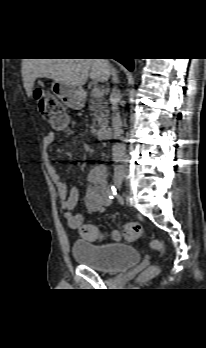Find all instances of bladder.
<instances>
[{
  "mask_svg": "<svg viewBox=\"0 0 206 348\" xmlns=\"http://www.w3.org/2000/svg\"><path fill=\"white\" fill-rule=\"evenodd\" d=\"M72 254L79 265L105 273L120 271L140 260L135 247L121 243L96 244L78 240L72 244Z\"/></svg>",
  "mask_w": 206,
  "mask_h": 348,
  "instance_id": "1",
  "label": "bladder"
}]
</instances>
